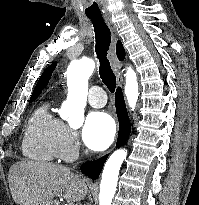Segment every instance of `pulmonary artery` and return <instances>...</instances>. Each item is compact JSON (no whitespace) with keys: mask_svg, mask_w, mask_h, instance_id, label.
Here are the masks:
<instances>
[{"mask_svg":"<svg viewBox=\"0 0 199 205\" xmlns=\"http://www.w3.org/2000/svg\"><path fill=\"white\" fill-rule=\"evenodd\" d=\"M107 97L104 90L99 86H93L89 90L88 101L91 106L100 108L106 103Z\"/></svg>","mask_w":199,"mask_h":205,"instance_id":"pulmonary-artery-1","label":"pulmonary artery"}]
</instances>
